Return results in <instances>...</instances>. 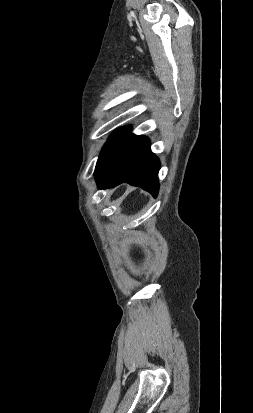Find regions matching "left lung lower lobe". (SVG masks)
<instances>
[{
  "instance_id": "obj_1",
  "label": "left lung lower lobe",
  "mask_w": 253,
  "mask_h": 413,
  "mask_svg": "<svg viewBox=\"0 0 253 413\" xmlns=\"http://www.w3.org/2000/svg\"><path fill=\"white\" fill-rule=\"evenodd\" d=\"M160 162L143 136L130 134L102 168L95 174L99 188L127 182L156 196L159 190Z\"/></svg>"
}]
</instances>
